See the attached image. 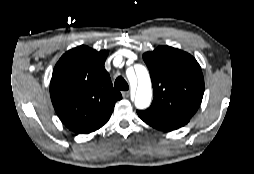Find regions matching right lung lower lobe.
Instances as JSON below:
<instances>
[{
  "mask_svg": "<svg viewBox=\"0 0 254 174\" xmlns=\"http://www.w3.org/2000/svg\"><path fill=\"white\" fill-rule=\"evenodd\" d=\"M107 121H108V120H107ZM107 121H106V122H107ZM106 122H105V123H106ZM105 123H103L102 125H100V126L96 127L95 129H92L91 131H89V132H87V133H90V132H93V131H95V130L99 129V128H100V127H102Z\"/></svg>",
  "mask_w": 254,
  "mask_h": 174,
  "instance_id": "obj_1",
  "label": "right lung lower lobe"
}]
</instances>
